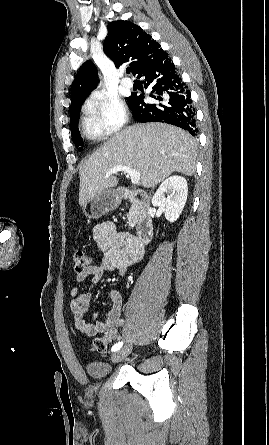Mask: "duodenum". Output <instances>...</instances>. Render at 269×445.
<instances>
[{
    "instance_id": "obj_1",
    "label": "duodenum",
    "mask_w": 269,
    "mask_h": 445,
    "mask_svg": "<svg viewBox=\"0 0 269 445\" xmlns=\"http://www.w3.org/2000/svg\"><path fill=\"white\" fill-rule=\"evenodd\" d=\"M119 196L123 200L134 202L138 207L136 223L137 240L141 245L148 243L153 235V223L149 214L150 198L143 190L122 189Z\"/></svg>"
}]
</instances>
